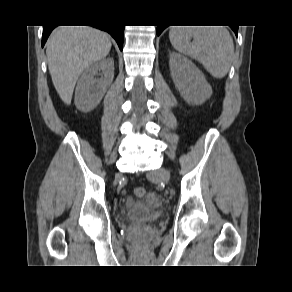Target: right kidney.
I'll return each mask as SVG.
<instances>
[{"mask_svg": "<svg viewBox=\"0 0 292 292\" xmlns=\"http://www.w3.org/2000/svg\"><path fill=\"white\" fill-rule=\"evenodd\" d=\"M102 73L100 79L95 76ZM114 78V60L105 58L95 62L81 75L75 90V105L83 111L93 110L101 101Z\"/></svg>", "mask_w": 292, "mask_h": 292, "instance_id": "obj_1", "label": "right kidney"}]
</instances>
